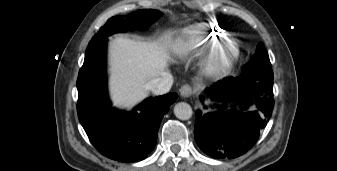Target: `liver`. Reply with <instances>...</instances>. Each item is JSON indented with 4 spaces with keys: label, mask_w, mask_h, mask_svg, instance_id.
<instances>
[{
    "label": "liver",
    "mask_w": 337,
    "mask_h": 171,
    "mask_svg": "<svg viewBox=\"0 0 337 171\" xmlns=\"http://www.w3.org/2000/svg\"><path fill=\"white\" fill-rule=\"evenodd\" d=\"M174 48L169 36L146 42L117 36L109 44L110 93L113 104L132 108L145 99L147 83L162 77Z\"/></svg>",
    "instance_id": "liver-1"
}]
</instances>
